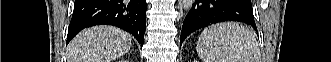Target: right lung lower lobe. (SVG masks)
Returning <instances> with one entry per match:
<instances>
[{"instance_id":"obj_1","label":"right lung lower lobe","mask_w":331,"mask_h":62,"mask_svg":"<svg viewBox=\"0 0 331 62\" xmlns=\"http://www.w3.org/2000/svg\"><path fill=\"white\" fill-rule=\"evenodd\" d=\"M146 9V0H75L67 44L82 29L106 24L131 33L142 47Z\"/></svg>"}]
</instances>
